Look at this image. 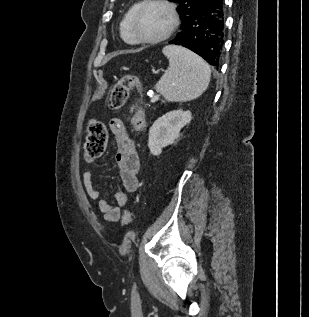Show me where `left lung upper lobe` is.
Segmentation results:
<instances>
[{
    "label": "left lung upper lobe",
    "instance_id": "obj_1",
    "mask_svg": "<svg viewBox=\"0 0 309 317\" xmlns=\"http://www.w3.org/2000/svg\"><path fill=\"white\" fill-rule=\"evenodd\" d=\"M169 1L177 2L179 4L177 11L180 14L182 22H184L187 19V17L206 0H169Z\"/></svg>",
    "mask_w": 309,
    "mask_h": 317
}]
</instances>
